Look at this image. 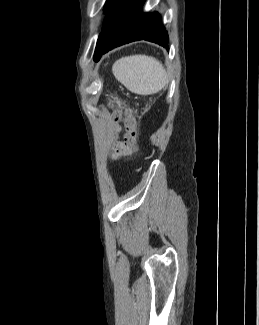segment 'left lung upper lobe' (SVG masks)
Returning <instances> with one entry per match:
<instances>
[{
	"mask_svg": "<svg viewBox=\"0 0 259 325\" xmlns=\"http://www.w3.org/2000/svg\"><path fill=\"white\" fill-rule=\"evenodd\" d=\"M125 0H107L105 7H104V13L106 14V18L102 27V33H100L96 49H95V55H94V60L98 61L101 56V46H102V39H103V33L107 28V25L111 19V17L114 15V13L119 9V7L122 5V3Z\"/></svg>",
	"mask_w": 259,
	"mask_h": 325,
	"instance_id": "1",
	"label": "left lung upper lobe"
}]
</instances>
